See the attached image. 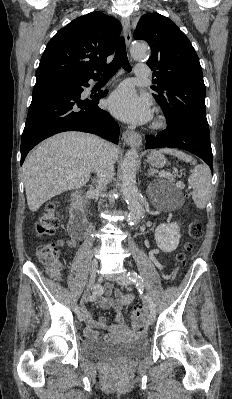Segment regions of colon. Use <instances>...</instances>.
Wrapping results in <instances>:
<instances>
[{
    "label": "colon",
    "mask_w": 232,
    "mask_h": 399,
    "mask_svg": "<svg viewBox=\"0 0 232 399\" xmlns=\"http://www.w3.org/2000/svg\"><path fill=\"white\" fill-rule=\"evenodd\" d=\"M43 209L46 212L40 222L36 225L37 230V258L42 262V265L48 269L49 275L54 279L58 285H63L67 281V276L63 273L59 265L61 252L58 249V244H50V234L61 225L62 214L57 210V204L53 200H47L43 204ZM203 225L192 221L191 225L187 226V234L191 238H196L201 234ZM182 249L186 253H191L195 249V244L191 240H186L182 244ZM190 261L184 253H178L174 257L175 264L170 268V273L174 277H179L183 273V268ZM133 324H148L147 313H132ZM135 335H146V328H135Z\"/></svg>",
    "instance_id": "obj_1"
}]
</instances>
